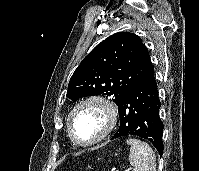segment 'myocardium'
Instances as JSON below:
<instances>
[{
	"label": "myocardium",
	"mask_w": 199,
	"mask_h": 171,
	"mask_svg": "<svg viewBox=\"0 0 199 171\" xmlns=\"http://www.w3.org/2000/svg\"><path fill=\"white\" fill-rule=\"evenodd\" d=\"M86 105H95L104 112L106 118V126L104 130L101 132V134L97 136L95 139L88 142H82L77 139V137L73 132L72 118L81 107ZM117 120H118V109L113 101L100 95H90L80 99L74 104V106L71 108V110L67 115L66 125H67L68 135L72 140V142L80 147H88L95 145L104 140L115 128Z\"/></svg>",
	"instance_id": "1"
}]
</instances>
